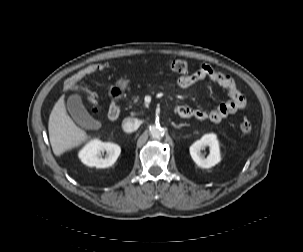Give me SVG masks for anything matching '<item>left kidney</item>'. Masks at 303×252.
Segmentation results:
<instances>
[{
    "label": "left kidney",
    "mask_w": 303,
    "mask_h": 252,
    "mask_svg": "<svg viewBox=\"0 0 303 252\" xmlns=\"http://www.w3.org/2000/svg\"><path fill=\"white\" fill-rule=\"evenodd\" d=\"M206 146L209 147V154L205 158L201 150ZM189 151L193 161L201 168H211L221 160L219 142L216 134L213 133L203 135L200 140L190 146Z\"/></svg>",
    "instance_id": "obj_1"
}]
</instances>
